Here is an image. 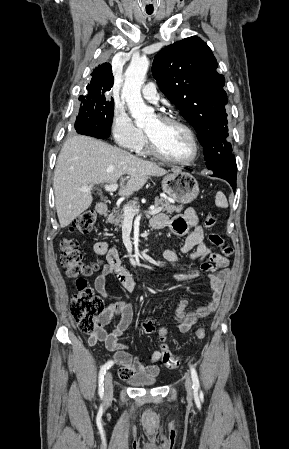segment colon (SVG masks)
<instances>
[{"label": "colon", "mask_w": 289, "mask_h": 449, "mask_svg": "<svg viewBox=\"0 0 289 449\" xmlns=\"http://www.w3.org/2000/svg\"><path fill=\"white\" fill-rule=\"evenodd\" d=\"M95 218L94 211H84L74 220L71 230L86 234L91 230ZM216 223L217 218L215 215L207 213L204 221L205 226L207 228H213ZM209 240L213 245L221 249L224 256H229L233 253L232 247L225 244L220 234L215 232L211 233ZM61 251V263L67 275L77 279V292L72 296L70 301L72 315L80 331L86 334L94 333L105 311V306L103 300L88 285L86 278L99 269L101 262L85 263L79 250L78 242L74 239H63L61 242ZM142 330L146 334H152L155 332V327L152 322L146 321L142 324ZM195 335L199 339L204 338L205 329L202 327L198 328ZM158 336L161 342L159 351L162 363L168 368L177 367L179 365V359L171 353L167 344L168 330L165 327L159 328Z\"/></svg>", "instance_id": "obj_1"}]
</instances>
